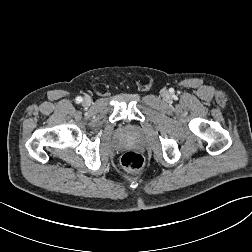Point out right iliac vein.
<instances>
[{
	"mask_svg": "<svg viewBox=\"0 0 252 252\" xmlns=\"http://www.w3.org/2000/svg\"><path fill=\"white\" fill-rule=\"evenodd\" d=\"M82 104H83V106H85V107L90 106V104H91V98L88 97V96L84 97V99H83V101H82Z\"/></svg>",
	"mask_w": 252,
	"mask_h": 252,
	"instance_id": "right-iliac-vein-1",
	"label": "right iliac vein"
}]
</instances>
